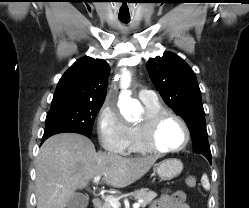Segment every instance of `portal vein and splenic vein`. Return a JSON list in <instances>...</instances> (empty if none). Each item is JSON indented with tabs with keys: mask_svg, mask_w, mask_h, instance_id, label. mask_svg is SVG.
I'll use <instances>...</instances> for the list:
<instances>
[{
	"mask_svg": "<svg viewBox=\"0 0 249 208\" xmlns=\"http://www.w3.org/2000/svg\"><path fill=\"white\" fill-rule=\"evenodd\" d=\"M100 178H101V176L94 177L93 182L98 183L100 181ZM106 201L109 202L113 208H119L121 206L118 198H115L112 196H107ZM141 202H142V200H140L138 203H134L133 208H139Z\"/></svg>",
	"mask_w": 249,
	"mask_h": 208,
	"instance_id": "obj_1",
	"label": "portal vein and splenic vein"
}]
</instances>
